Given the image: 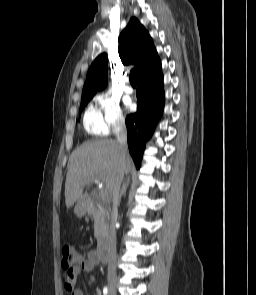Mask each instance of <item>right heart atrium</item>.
<instances>
[{
  "mask_svg": "<svg viewBox=\"0 0 256 295\" xmlns=\"http://www.w3.org/2000/svg\"><path fill=\"white\" fill-rule=\"evenodd\" d=\"M99 108V114L105 132H114L125 124V116L119 101L108 92L101 93L95 97Z\"/></svg>",
  "mask_w": 256,
  "mask_h": 295,
  "instance_id": "1",
  "label": "right heart atrium"
}]
</instances>
